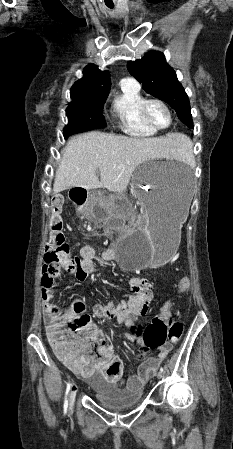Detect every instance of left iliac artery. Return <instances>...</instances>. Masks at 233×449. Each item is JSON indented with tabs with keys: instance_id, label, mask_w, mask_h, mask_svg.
I'll use <instances>...</instances> for the list:
<instances>
[{
	"instance_id": "1",
	"label": "left iliac artery",
	"mask_w": 233,
	"mask_h": 449,
	"mask_svg": "<svg viewBox=\"0 0 233 449\" xmlns=\"http://www.w3.org/2000/svg\"><path fill=\"white\" fill-rule=\"evenodd\" d=\"M160 371L163 373V372H164V369L161 367V368H160Z\"/></svg>"
}]
</instances>
